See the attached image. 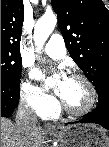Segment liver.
Listing matches in <instances>:
<instances>
[{"instance_id":"obj_1","label":"liver","mask_w":109,"mask_h":147,"mask_svg":"<svg viewBox=\"0 0 109 147\" xmlns=\"http://www.w3.org/2000/svg\"><path fill=\"white\" fill-rule=\"evenodd\" d=\"M60 125L59 128H64ZM22 134L17 126L9 119L1 118V147H24ZM44 143V133L39 127L33 134L31 147H41Z\"/></svg>"}]
</instances>
